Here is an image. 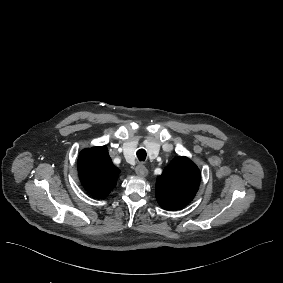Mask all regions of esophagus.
Listing matches in <instances>:
<instances>
[{
    "mask_svg": "<svg viewBox=\"0 0 283 283\" xmlns=\"http://www.w3.org/2000/svg\"><path fill=\"white\" fill-rule=\"evenodd\" d=\"M135 172L137 173V175L142 176V177H145L148 175V169L142 164L136 167Z\"/></svg>",
    "mask_w": 283,
    "mask_h": 283,
    "instance_id": "obj_1",
    "label": "esophagus"
}]
</instances>
